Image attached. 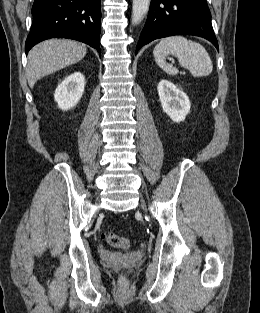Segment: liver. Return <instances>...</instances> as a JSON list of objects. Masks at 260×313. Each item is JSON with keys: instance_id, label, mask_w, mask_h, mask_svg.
<instances>
[{"instance_id": "liver-1", "label": "liver", "mask_w": 260, "mask_h": 313, "mask_svg": "<svg viewBox=\"0 0 260 313\" xmlns=\"http://www.w3.org/2000/svg\"><path fill=\"white\" fill-rule=\"evenodd\" d=\"M86 52L83 44L69 39H50L39 43L28 53L26 76L29 86L33 88L42 77L77 63Z\"/></svg>"}]
</instances>
